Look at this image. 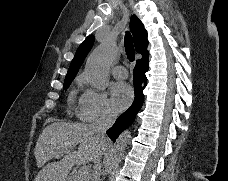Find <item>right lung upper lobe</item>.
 Wrapping results in <instances>:
<instances>
[{"label": "right lung upper lobe", "instance_id": "cb5924a9", "mask_svg": "<svg viewBox=\"0 0 228 181\" xmlns=\"http://www.w3.org/2000/svg\"><path fill=\"white\" fill-rule=\"evenodd\" d=\"M130 29L133 33L134 44L137 53H140L142 57L148 56L147 46V32L144 29L142 22L137 18L136 15H133L130 20ZM94 43V36H88L84 42L79 46L76 51V54L70 64L68 69L65 81L73 80L78 72V69L82 65L85 57L91 50Z\"/></svg>", "mask_w": 228, "mask_h": 181}]
</instances>
